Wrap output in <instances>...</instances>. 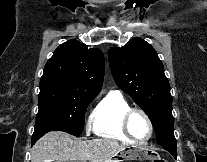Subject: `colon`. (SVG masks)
Segmentation results:
<instances>
[{
  "label": "colon",
  "mask_w": 207,
  "mask_h": 162,
  "mask_svg": "<svg viewBox=\"0 0 207 162\" xmlns=\"http://www.w3.org/2000/svg\"><path fill=\"white\" fill-rule=\"evenodd\" d=\"M152 162H167V161H165V160H154Z\"/></svg>",
  "instance_id": "5ec220e1"
}]
</instances>
